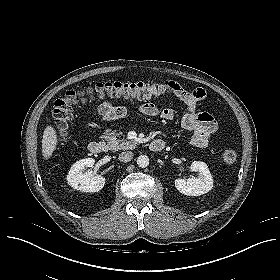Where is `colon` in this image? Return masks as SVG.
<instances>
[{"instance_id":"5ec220e1","label":"colon","mask_w":280,"mask_h":280,"mask_svg":"<svg viewBox=\"0 0 280 280\" xmlns=\"http://www.w3.org/2000/svg\"><path fill=\"white\" fill-rule=\"evenodd\" d=\"M165 88L159 82L126 83L120 81L98 82L94 86H88L77 90H70L56 100L52 114L55 121L58 136H66L67 128L73 119L74 107L79 103L91 102L97 98L121 97L147 99L162 95ZM237 152L232 147H226L222 151V161L231 165L236 161Z\"/></svg>"}]
</instances>
